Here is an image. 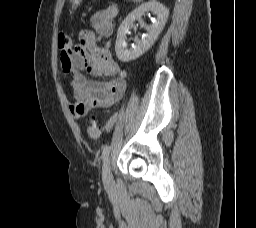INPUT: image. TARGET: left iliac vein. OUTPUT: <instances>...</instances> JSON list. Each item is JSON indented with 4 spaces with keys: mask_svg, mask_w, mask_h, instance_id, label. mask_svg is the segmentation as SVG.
I'll return each mask as SVG.
<instances>
[{
    "mask_svg": "<svg viewBox=\"0 0 256 228\" xmlns=\"http://www.w3.org/2000/svg\"><path fill=\"white\" fill-rule=\"evenodd\" d=\"M102 177H103V182L106 186H111L113 184V176L111 172L110 161L108 158L104 160Z\"/></svg>",
    "mask_w": 256,
    "mask_h": 228,
    "instance_id": "left-iliac-vein-1",
    "label": "left iliac vein"
}]
</instances>
